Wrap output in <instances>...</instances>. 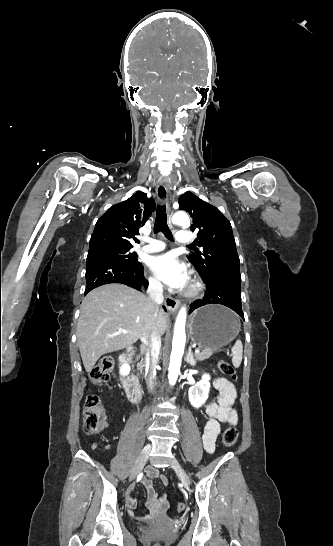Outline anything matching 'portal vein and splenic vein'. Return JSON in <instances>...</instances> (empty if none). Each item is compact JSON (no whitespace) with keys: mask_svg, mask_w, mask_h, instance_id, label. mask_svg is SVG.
<instances>
[{"mask_svg":"<svg viewBox=\"0 0 333 546\" xmlns=\"http://www.w3.org/2000/svg\"><path fill=\"white\" fill-rule=\"evenodd\" d=\"M121 332L124 333V334L131 333V331H128V330H122ZM140 340L145 345H148V342L144 337H141ZM195 353H200V349H195Z\"/></svg>","mask_w":333,"mask_h":546,"instance_id":"18ae733b","label":"portal vein and splenic vein"}]
</instances>
